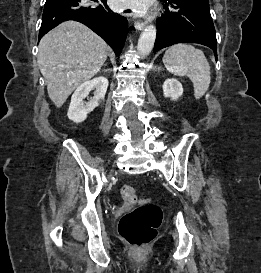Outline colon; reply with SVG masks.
Wrapping results in <instances>:
<instances>
[{"label": "colon", "mask_w": 261, "mask_h": 273, "mask_svg": "<svg viewBox=\"0 0 261 273\" xmlns=\"http://www.w3.org/2000/svg\"><path fill=\"white\" fill-rule=\"evenodd\" d=\"M120 193L124 201L139 203L140 206L120 219L119 234L129 245L141 249L155 238L162 222V211L159 206L147 200H138L136 190L131 185H123Z\"/></svg>", "instance_id": "5ec220e1"}]
</instances>
